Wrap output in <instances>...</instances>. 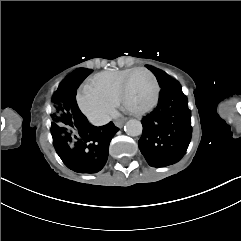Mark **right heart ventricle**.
I'll return each mask as SVG.
<instances>
[{
  "mask_svg": "<svg viewBox=\"0 0 241 241\" xmlns=\"http://www.w3.org/2000/svg\"><path fill=\"white\" fill-rule=\"evenodd\" d=\"M130 70L132 69L103 71L87 79L84 85L88 83L94 84L101 90L102 93L111 96L116 104L119 100L120 94L119 82Z\"/></svg>",
  "mask_w": 241,
  "mask_h": 241,
  "instance_id": "obj_1",
  "label": "right heart ventricle"
}]
</instances>
